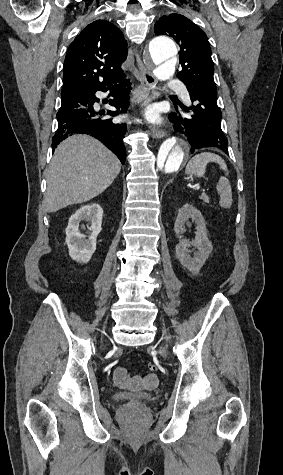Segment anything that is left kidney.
Returning a JSON list of instances; mask_svg holds the SVG:
<instances>
[{"label": "left kidney", "mask_w": 283, "mask_h": 475, "mask_svg": "<svg viewBox=\"0 0 283 475\" xmlns=\"http://www.w3.org/2000/svg\"><path fill=\"white\" fill-rule=\"evenodd\" d=\"M189 218H192L194 224L197 226L196 236L193 241H189V239L180 236L182 230L185 228L184 224L188 222ZM174 230L179 238V243H177L175 247L177 259H179L183 267H187L191 273L197 275L213 249V245L207 236L206 222L201 212H199L197 208H194V206H190V204H184L178 212ZM190 245H194V247L198 249L194 257L188 255V247H190Z\"/></svg>", "instance_id": "obj_1"}]
</instances>
